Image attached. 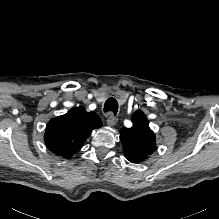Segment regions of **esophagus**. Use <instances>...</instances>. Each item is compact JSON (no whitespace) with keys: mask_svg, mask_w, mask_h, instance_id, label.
<instances>
[{"mask_svg":"<svg viewBox=\"0 0 219 219\" xmlns=\"http://www.w3.org/2000/svg\"><path fill=\"white\" fill-rule=\"evenodd\" d=\"M118 122V119L114 116L113 113H108L107 115V124L111 127L115 126Z\"/></svg>","mask_w":219,"mask_h":219,"instance_id":"obj_1","label":"esophagus"}]
</instances>
